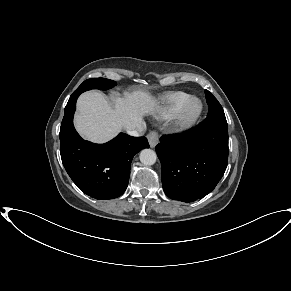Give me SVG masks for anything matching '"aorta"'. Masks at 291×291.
Returning <instances> with one entry per match:
<instances>
[{
  "mask_svg": "<svg viewBox=\"0 0 291 291\" xmlns=\"http://www.w3.org/2000/svg\"><path fill=\"white\" fill-rule=\"evenodd\" d=\"M157 160V154L151 149H143L140 152V161L144 165H153Z\"/></svg>",
  "mask_w": 291,
  "mask_h": 291,
  "instance_id": "obj_1",
  "label": "aorta"
}]
</instances>
